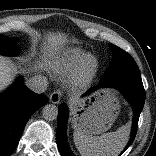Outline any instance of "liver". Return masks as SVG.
Returning a JSON list of instances; mask_svg holds the SVG:
<instances>
[{
  "label": "liver",
  "mask_w": 156,
  "mask_h": 156,
  "mask_svg": "<svg viewBox=\"0 0 156 156\" xmlns=\"http://www.w3.org/2000/svg\"><path fill=\"white\" fill-rule=\"evenodd\" d=\"M66 41V37L61 33H55L49 36L51 44L49 50L54 49L58 45H62ZM13 77V70L7 64L3 57H0V91L10 82Z\"/></svg>",
  "instance_id": "1"
}]
</instances>
